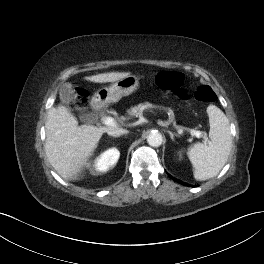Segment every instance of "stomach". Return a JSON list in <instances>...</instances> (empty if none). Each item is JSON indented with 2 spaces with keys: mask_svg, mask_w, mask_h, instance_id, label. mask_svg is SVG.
I'll return each instance as SVG.
<instances>
[{
  "mask_svg": "<svg viewBox=\"0 0 264 264\" xmlns=\"http://www.w3.org/2000/svg\"><path fill=\"white\" fill-rule=\"evenodd\" d=\"M139 86V79L135 75H128L117 80L109 87L99 89L93 96V102L98 106L118 102L123 96L135 92Z\"/></svg>",
  "mask_w": 264,
  "mask_h": 264,
  "instance_id": "1",
  "label": "stomach"
}]
</instances>
